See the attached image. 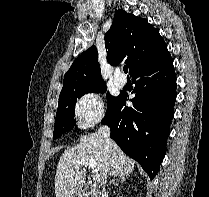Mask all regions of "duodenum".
<instances>
[{
  "mask_svg": "<svg viewBox=\"0 0 209 197\" xmlns=\"http://www.w3.org/2000/svg\"><path fill=\"white\" fill-rule=\"evenodd\" d=\"M80 193L83 197H96V191L90 185H82Z\"/></svg>",
  "mask_w": 209,
  "mask_h": 197,
  "instance_id": "obj_1",
  "label": "duodenum"
}]
</instances>
